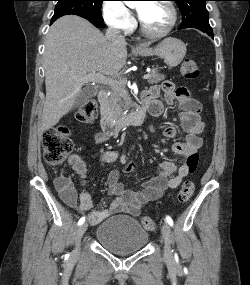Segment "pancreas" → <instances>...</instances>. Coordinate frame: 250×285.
<instances>
[{"label": "pancreas", "instance_id": "1", "mask_svg": "<svg viewBox=\"0 0 250 285\" xmlns=\"http://www.w3.org/2000/svg\"><path fill=\"white\" fill-rule=\"evenodd\" d=\"M148 74L150 75L147 80L149 84L159 83L165 78L163 74L158 73L156 68L152 69ZM130 104V97L126 90V80L121 79V83L111 86L109 97L104 101L101 110L106 116L115 119L129 109Z\"/></svg>", "mask_w": 250, "mask_h": 285}]
</instances>
